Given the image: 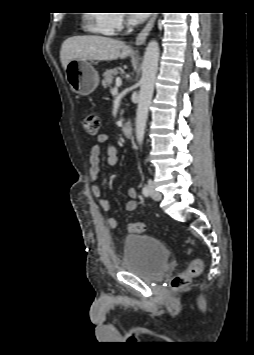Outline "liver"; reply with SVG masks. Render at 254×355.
I'll return each instance as SVG.
<instances>
[{"label": "liver", "instance_id": "1", "mask_svg": "<svg viewBox=\"0 0 254 355\" xmlns=\"http://www.w3.org/2000/svg\"><path fill=\"white\" fill-rule=\"evenodd\" d=\"M133 53L123 41L98 35L74 36L66 39L60 51L64 69L75 59L81 60H116L124 59Z\"/></svg>", "mask_w": 254, "mask_h": 355}]
</instances>
